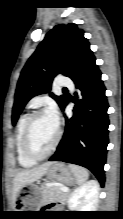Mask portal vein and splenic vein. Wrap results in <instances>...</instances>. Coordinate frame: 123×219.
Wrapping results in <instances>:
<instances>
[{"label":"portal vein and splenic vein","mask_w":123,"mask_h":219,"mask_svg":"<svg viewBox=\"0 0 123 219\" xmlns=\"http://www.w3.org/2000/svg\"><path fill=\"white\" fill-rule=\"evenodd\" d=\"M61 190L64 191V192H68L69 188L68 187H61Z\"/></svg>","instance_id":"portal-vein-and-splenic-vein-1"}]
</instances>
